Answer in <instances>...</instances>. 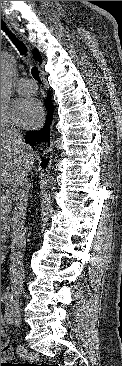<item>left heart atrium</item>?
I'll return each mask as SVG.
<instances>
[{
	"label": "left heart atrium",
	"mask_w": 122,
	"mask_h": 366,
	"mask_svg": "<svg viewBox=\"0 0 122 366\" xmlns=\"http://www.w3.org/2000/svg\"><path fill=\"white\" fill-rule=\"evenodd\" d=\"M43 118V109L39 101L30 97H21L12 106V120L15 125L32 127Z\"/></svg>",
	"instance_id": "obj_1"
}]
</instances>
